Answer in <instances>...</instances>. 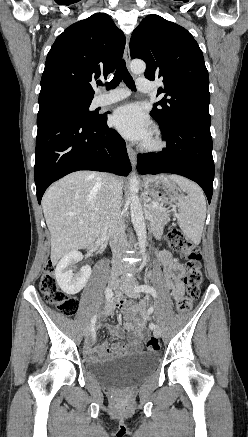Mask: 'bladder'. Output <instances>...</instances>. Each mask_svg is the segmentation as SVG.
<instances>
[{
	"mask_svg": "<svg viewBox=\"0 0 248 437\" xmlns=\"http://www.w3.org/2000/svg\"><path fill=\"white\" fill-rule=\"evenodd\" d=\"M157 360L154 352L122 354L89 364L87 373L107 386H128L153 371Z\"/></svg>",
	"mask_w": 248,
	"mask_h": 437,
	"instance_id": "bladder-1",
	"label": "bladder"
}]
</instances>
